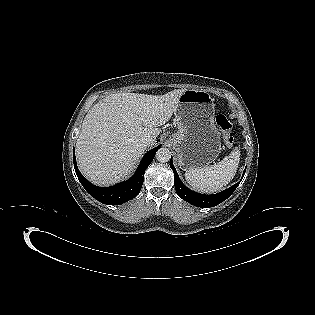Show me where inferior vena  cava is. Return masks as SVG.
Returning <instances> with one entry per match:
<instances>
[{
    "mask_svg": "<svg viewBox=\"0 0 315 315\" xmlns=\"http://www.w3.org/2000/svg\"><path fill=\"white\" fill-rule=\"evenodd\" d=\"M155 140L151 136H145L142 138V143L146 146L153 145Z\"/></svg>",
    "mask_w": 315,
    "mask_h": 315,
    "instance_id": "obj_1",
    "label": "inferior vena cava"
}]
</instances>
